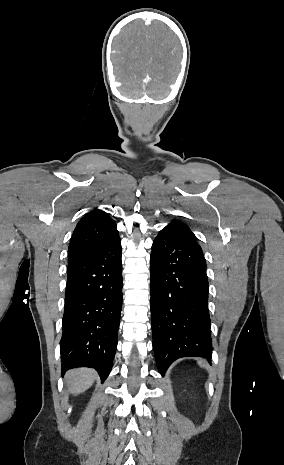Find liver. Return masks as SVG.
Wrapping results in <instances>:
<instances>
[{
    "label": "liver",
    "mask_w": 284,
    "mask_h": 465,
    "mask_svg": "<svg viewBox=\"0 0 284 465\" xmlns=\"http://www.w3.org/2000/svg\"><path fill=\"white\" fill-rule=\"evenodd\" d=\"M96 375L93 369H73L68 371L67 383L72 395H80L94 383Z\"/></svg>",
    "instance_id": "liver-1"
}]
</instances>
